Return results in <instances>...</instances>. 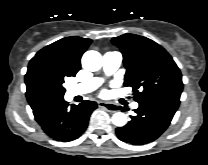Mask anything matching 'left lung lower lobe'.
<instances>
[{"instance_id":"left-lung-lower-lobe-1","label":"left lung lower lobe","mask_w":208,"mask_h":165,"mask_svg":"<svg viewBox=\"0 0 208 165\" xmlns=\"http://www.w3.org/2000/svg\"><path fill=\"white\" fill-rule=\"evenodd\" d=\"M180 104L179 99L158 98L139 103L136 115L124 127H118V138L127 143L142 145L156 140L169 126Z\"/></svg>"}]
</instances>
